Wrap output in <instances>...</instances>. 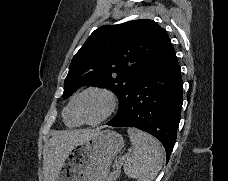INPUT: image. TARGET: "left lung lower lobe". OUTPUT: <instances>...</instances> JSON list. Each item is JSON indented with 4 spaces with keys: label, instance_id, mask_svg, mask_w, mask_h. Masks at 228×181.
<instances>
[{
    "label": "left lung lower lobe",
    "instance_id": "1",
    "mask_svg": "<svg viewBox=\"0 0 228 181\" xmlns=\"http://www.w3.org/2000/svg\"><path fill=\"white\" fill-rule=\"evenodd\" d=\"M183 81L173 46L167 47L139 74L123 117L110 126L135 127L163 144L167 161L180 122Z\"/></svg>",
    "mask_w": 228,
    "mask_h": 181
}]
</instances>
